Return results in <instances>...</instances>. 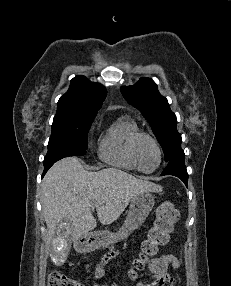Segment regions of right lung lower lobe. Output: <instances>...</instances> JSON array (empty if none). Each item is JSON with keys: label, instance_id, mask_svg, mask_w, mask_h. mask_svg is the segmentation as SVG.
<instances>
[{"label": "right lung lower lobe", "instance_id": "98d812e1", "mask_svg": "<svg viewBox=\"0 0 231 286\" xmlns=\"http://www.w3.org/2000/svg\"><path fill=\"white\" fill-rule=\"evenodd\" d=\"M55 162H50V163H44V172H43V176L45 175V173L47 172V170L54 164Z\"/></svg>", "mask_w": 231, "mask_h": 286}]
</instances>
